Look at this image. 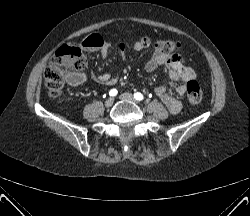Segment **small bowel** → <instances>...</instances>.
<instances>
[{"mask_svg": "<svg viewBox=\"0 0 250 216\" xmlns=\"http://www.w3.org/2000/svg\"><path fill=\"white\" fill-rule=\"evenodd\" d=\"M82 47L87 51L100 50L103 57L108 55L109 47L103 38L99 34H91L82 41ZM121 56L125 55L126 48L124 44L118 46ZM143 47L139 42L134 44V49L139 51ZM166 67L169 70L168 80L165 84L156 87L155 93L168 108L172 114H177L181 110V102L167 93V88L170 84L176 81H182L183 84L176 87V92L179 96L186 93V84L188 81L195 78V72L187 67L180 55L176 53H165L155 49L152 58L145 64V70L152 72L158 67ZM93 78L96 82L105 85H114L117 83V77H111L107 74H93ZM86 80V76L83 73H76L68 79V82L72 86L82 85Z\"/></svg>", "mask_w": 250, "mask_h": 216, "instance_id": "c3829d8e", "label": "small bowel"}]
</instances>
